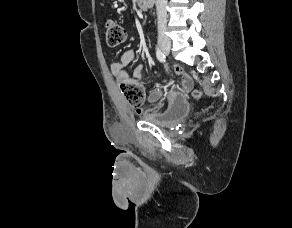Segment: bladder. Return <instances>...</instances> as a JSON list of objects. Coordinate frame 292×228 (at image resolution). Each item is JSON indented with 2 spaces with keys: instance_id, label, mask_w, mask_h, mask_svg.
<instances>
[{
  "instance_id": "1",
  "label": "bladder",
  "mask_w": 292,
  "mask_h": 228,
  "mask_svg": "<svg viewBox=\"0 0 292 228\" xmlns=\"http://www.w3.org/2000/svg\"><path fill=\"white\" fill-rule=\"evenodd\" d=\"M190 111L189 103L183 100L174 104L171 109L163 114H153L144 116V120L157 126H170L183 119Z\"/></svg>"
}]
</instances>
